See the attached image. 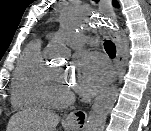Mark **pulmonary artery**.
I'll list each match as a JSON object with an SVG mask.
<instances>
[{"label": "pulmonary artery", "mask_w": 151, "mask_h": 131, "mask_svg": "<svg viewBox=\"0 0 151 131\" xmlns=\"http://www.w3.org/2000/svg\"><path fill=\"white\" fill-rule=\"evenodd\" d=\"M64 38L67 44L72 47L82 46L89 41L83 34L76 32H66Z\"/></svg>", "instance_id": "1"}]
</instances>
